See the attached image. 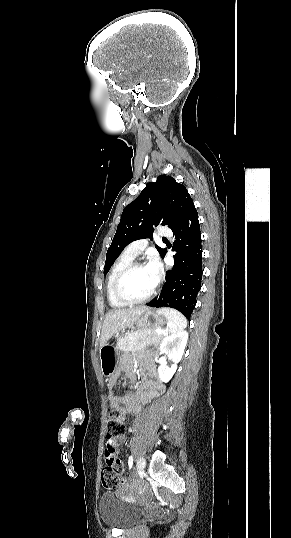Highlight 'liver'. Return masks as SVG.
Returning <instances> with one entry per match:
<instances>
[{"mask_svg":"<svg viewBox=\"0 0 291 538\" xmlns=\"http://www.w3.org/2000/svg\"><path fill=\"white\" fill-rule=\"evenodd\" d=\"M149 310V307L138 306L133 308H118L107 312L104 318L100 347L121 330L132 328L141 315Z\"/></svg>","mask_w":291,"mask_h":538,"instance_id":"liver-1","label":"liver"}]
</instances>
